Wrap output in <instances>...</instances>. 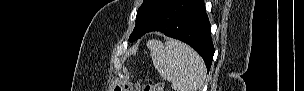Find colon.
<instances>
[{"label":"colon","mask_w":304,"mask_h":91,"mask_svg":"<svg viewBox=\"0 0 304 91\" xmlns=\"http://www.w3.org/2000/svg\"><path fill=\"white\" fill-rule=\"evenodd\" d=\"M117 91H163V86L161 83H148L143 86L139 84H134L131 82H125L120 84L117 88Z\"/></svg>","instance_id":"colon-1"}]
</instances>
